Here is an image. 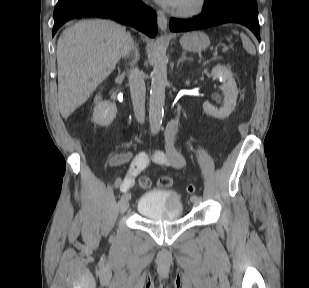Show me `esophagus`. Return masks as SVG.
<instances>
[{"label":"esophagus","mask_w":309,"mask_h":288,"mask_svg":"<svg viewBox=\"0 0 309 288\" xmlns=\"http://www.w3.org/2000/svg\"><path fill=\"white\" fill-rule=\"evenodd\" d=\"M157 21L159 29L163 32H166L168 26V19L161 10H157Z\"/></svg>","instance_id":"esophagus-1"}]
</instances>
